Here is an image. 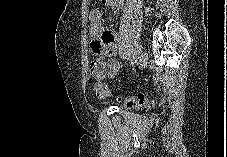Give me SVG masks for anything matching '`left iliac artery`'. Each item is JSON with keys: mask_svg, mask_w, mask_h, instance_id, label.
Listing matches in <instances>:
<instances>
[{"mask_svg": "<svg viewBox=\"0 0 227 157\" xmlns=\"http://www.w3.org/2000/svg\"><path fill=\"white\" fill-rule=\"evenodd\" d=\"M141 51H142V46L139 45V44L136 45L135 50H134V52H133V54H132V60H131L132 64L134 63L133 60L136 59V57L138 56V54H139Z\"/></svg>", "mask_w": 227, "mask_h": 157, "instance_id": "obj_1", "label": "left iliac artery"}]
</instances>
